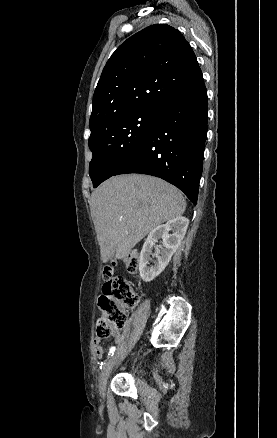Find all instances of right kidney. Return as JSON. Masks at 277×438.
Instances as JSON below:
<instances>
[{"label":"right kidney","mask_w":277,"mask_h":438,"mask_svg":"<svg viewBox=\"0 0 277 438\" xmlns=\"http://www.w3.org/2000/svg\"><path fill=\"white\" fill-rule=\"evenodd\" d=\"M189 220L184 216H177L162 226H156L151 230L140 254L139 272L143 282H152L168 266L173 254L179 248L188 228ZM169 232H173L172 236ZM162 240L160 250H156V260L150 258L152 250ZM153 262L154 266H150Z\"/></svg>","instance_id":"1"}]
</instances>
